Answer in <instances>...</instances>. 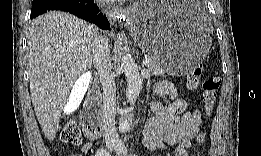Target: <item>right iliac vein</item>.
Wrapping results in <instances>:
<instances>
[{
  "instance_id": "right-iliac-vein-1",
  "label": "right iliac vein",
  "mask_w": 261,
  "mask_h": 156,
  "mask_svg": "<svg viewBox=\"0 0 261 156\" xmlns=\"http://www.w3.org/2000/svg\"><path fill=\"white\" fill-rule=\"evenodd\" d=\"M116 146H117V145L114 144V143H112V142H108V143H107V147H108L109 150H113V149H115Z\"/></svg>"
}]
</instances>
